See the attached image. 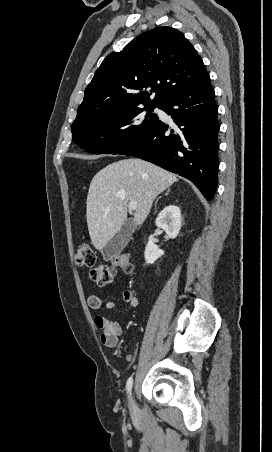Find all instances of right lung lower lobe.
Wrapping results in <instances>:
<instances>
[{
  "mask_svg": "<svg viewBox=\"0 0 272 452\" xmlns=\"http://www.w3.org/2000/svg\"><path fill=\"white\" fill-rule=\"evenodd\" d=\"M160 108L174 125L160 119L136 142L121 151L154 163L192 181L207 200L218 182V110L207 78L174 96Z\"/></svg>",
  "mask_w": 272,
  "mask_h": 452,
  "instance_id": "1",
  "label": "right lung lower lobe"
}]
</instances>
